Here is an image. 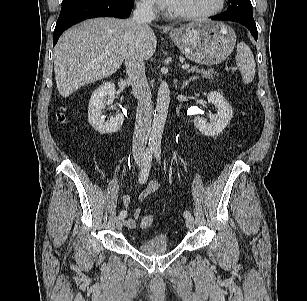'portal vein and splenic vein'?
<instances>
[{"instance_id":"obj_1","label":"portal vein and splenic vein","mask_w":307,"mask_h":301,"mask_svg":"<svg viewBox=\"0 0 307 301\" xmlns=\"http://www.w3.org/2000/svg\"><path fill=\"white\" fill-rule=\"evenodd\" d=\"M190 68V65L189 64H184V65H182V69H184V70H187V69H189Z\"/></svg>"}]
</instances>
